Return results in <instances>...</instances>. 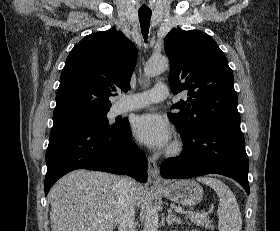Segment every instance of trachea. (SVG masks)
I'll return each instance as SVG.
<instances>
[{
  "instance_id": "3493384b",
  "label": "trachea",
  "mask_w": 280,
  "mask_h": 231,
  "mask_svg": "<svg viewBox=\"0 0 280 231\" xmlns=\"http://www.w3.org/2000/svg\"><path fill=\"white\" fill-rule=\"evenodd\" d=\"M151 14H152L151 10H145V9L138 10L140 27L145 41H147L148 38Z\"/></svg>"
}]
</instances>
